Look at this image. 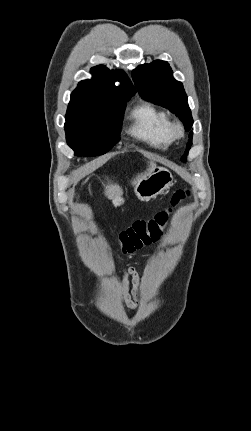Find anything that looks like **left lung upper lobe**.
<instances>
[{
  "instance_id": "obj_1",
  "label": "left lung upper lobe",
  "mask_w": 251,
  "mask_h": 431,
  "mask_svg": "<svg viewBox=\"0 0 251 431\" xmlns=\"http://www.w3.org/2000/svg\"><path fill=\"white\" fill-rule=\"evenodd\" d=\"M171 67L166 61L155 60L150 64L138 66L132 72V77L140 95L160 106L169 109L183 122L185 130L189 131L193 124L191 110L187 103V95L181 82L173 78ZM193 133L190 132L187 149L192 145ZM186 156L182 157L185 161Z\"/></svg>"
}]
</instances>
